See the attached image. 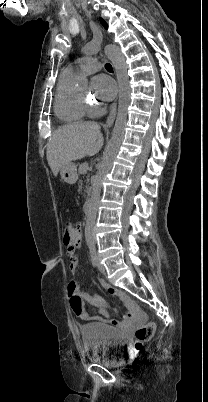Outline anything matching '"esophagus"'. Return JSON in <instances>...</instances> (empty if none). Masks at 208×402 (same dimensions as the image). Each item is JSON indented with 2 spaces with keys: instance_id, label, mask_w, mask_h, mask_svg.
<instances>
[{
  "instance_id": "34e87169",
  "label": "esophagus",
  "mask_w": 208,
  "mask_h": 402,
  "mask_svg": "<svg viewBox=\"0 0 208 402\" xmlns=\"http://www.w3.org/2000/svg\"><path fill=\"white\" fill-rule=\"evenodd\" d=\"M117 113V102L115 101L110 108V113L108 115V118L106 120V125L111 126L114 123L115 117Z\"/></svg>"
}]
</instances>
